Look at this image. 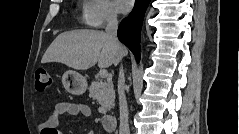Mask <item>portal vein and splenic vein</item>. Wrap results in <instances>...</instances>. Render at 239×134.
I'll use <instances>...</instances> for the list:
<instances>
[{
  "mask_svg": "<svg viewBox=\"0 0 239 134\" xmlns=\"http://www.w3.org/2000/svg\"><path fill=\"white\" fill-rule=\"evenodd\" d=\"M100 76L102 77V78H107V76H108V72H107V70L106 69H102V70H100Z\"/></svg>",
  "mask_w": 239,
  "mask_h": 134,
  "instance_id": "1",
  "label": "portal vein and splenic vein"
}]
</instances>
